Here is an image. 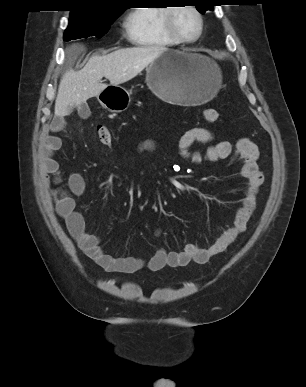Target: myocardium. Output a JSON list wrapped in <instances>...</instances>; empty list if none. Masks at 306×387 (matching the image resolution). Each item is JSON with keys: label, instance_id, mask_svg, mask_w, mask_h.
<instances>
[{"label": "myocardium", "instance_id": "myocardium-1", "mask_svg": "<svg viewBox=\"0 0 306 387\" xmlns=\"http://www.w3.org/2000/svg\"><path fill=\"white\" fill-rule=\"evenodd\" d=\"M181 8H186V9H189L191 10L192 12H194L199 20V29H198V33L196 34L195 37L193 38H186L184 36H182L176 26H175V23H174V16H175V13L178 9H181ZM164 25H165V30L167 32V34L173 39L175 40L176 42L178 43H182V44H192V43H195L197 42L200 37L202 36L203 34V31H204V17H203V14L201 13V11L194 5H182V6H171L170 8L167 9L166 11V14H165V18H164Z\"/></svg>", "mask_w": 306, "mask_h": 387}]
</instances>
